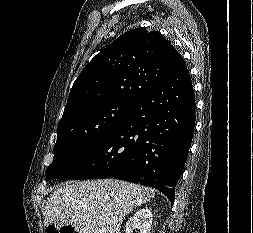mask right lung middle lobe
I'll use <instances>...</instances> for the list:
<instances>
[{
    "label": "right lung middle lobe",
    "instance_id": "right-lung-middle-lobe-1",
    "mask_svg": "<svg viewBox=\"0 0 253 233\" xmlns=\"http://www.w3.org/2000/svg\"><path fill=\"white\" fill-rule=\"evenodd\" d=\"M134 100L110 99L75 109L57 127L54 159L47 180L75 165L99 146L124 120Z\"/></svg>",
    "mask_w": 253,
    "mask_h": 233
}]
</instances>
